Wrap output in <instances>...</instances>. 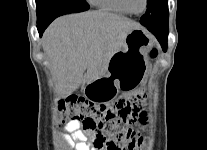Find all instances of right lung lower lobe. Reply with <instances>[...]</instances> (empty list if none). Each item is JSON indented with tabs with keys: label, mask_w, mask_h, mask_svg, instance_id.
Wrapping results in <instances>:
<instances>
[{
	"label": "right lung lower lobe",
	"mask_w": 207,
	"mask_h": 150,
	"mask_svg": "<svg viewBox=\"0 0 207 150\" xmlns=\"http://www.w3.org/2000/svg\"><path fill=\"white\" fill-rule=\"evenodd\" d=\"M56 18V16L48 17L42 20L37 21V29L39 32V35L42 36L44 30L47 28V26Z\"/></svg>",
	"instance_id": "98d812e1"
}]
</instances>
